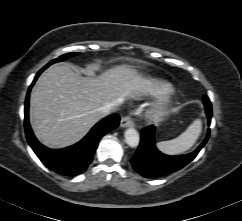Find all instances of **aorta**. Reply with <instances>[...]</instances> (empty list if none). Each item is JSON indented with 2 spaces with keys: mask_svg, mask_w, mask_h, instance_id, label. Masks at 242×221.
<instances>
[{
  "mask_svg": "<svg viewBox=\"0 0 242 221\" xmlns=\"http://www.w3.org/2000/svg\"><path fill=\"white\" fill-rule=\"evenodd\" d=\"M124 137H125L126 143L130 147L135 148L139 145L140 136H139V133L137 132V130H135L134 128L127 129L125 131Z\"/></svg>",
  "mask_w": 242,
  "mask_h": 221,
  "instance_id": "obj_1",
  "label": "aorta"
}]
</instances>
